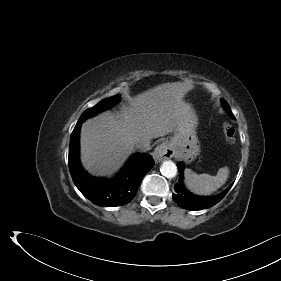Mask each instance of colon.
<instances>
[{"instance_id": "obj_1", "label": "colon", "mask_w": 281, "mask_h": 281, "mask_svg": "<svg viewBox=\"0 0 281 281\" xmlns=\"http://www.w3.org/2000/svg\"><path fill=\"white\" fill-rule=\"evenodd\" d=\"M223 131H224L225 141L228 144H232L235 140V137H234L235 133H234L233 127L228 123H224Z\"/></svg>"}]
</instances>
